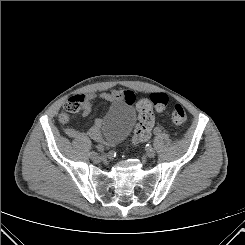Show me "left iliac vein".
<instances>
[{
    "label": "left iliac vein",
    "instance_id": "4c4485c4",
    "mask_svg": "<svg viewBox=\"0 0 245 245\" xmlns=\"http://www.w3.org/2000/svg\"><path fill=\"white\" fill-rule=\"evenodd\" d=\"M147 157L153 158L155 156V150L153 148H149L146 152Z\"/></svg>",
    "mask_w": 245,
    "mask_h": 245
}]
</instances>
